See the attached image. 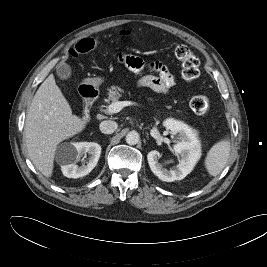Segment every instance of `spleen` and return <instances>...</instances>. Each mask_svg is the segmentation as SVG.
Segmentation results:
<instances>
[{
	"instance_id": "obj_1",
	"label": "spleen",
	"mask_w": 267,
	"mask_h": 267,
	"mask_svg": "<svg viewBox=\"0 0 267 267\" xmlns=\"http://www.w3.org/2000/svg\"><path fill=\"white\" fill-rule=\"evenodd\" d=\"M230 153V141L221 140L214 144L205 158V167L211 176H217L224 169Z\"/></svg>"
}]
</instances>
